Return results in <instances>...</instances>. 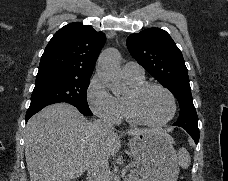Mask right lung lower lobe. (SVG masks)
I'll return each instance as SVG.
<instances>
[{"mask_svg": "<svg viewBox=\"0 0 228 181\" xmlns=\"http://www.w3.org/2000/svg\"><path fill=\"white\" fill-rule=\"evenodd\" d=\"M45 107V106H44ZM44 107H36V108H29L27 113H26V121L33 116L35 113H37L38 111H40L42 108Z\"/></svg>", "mask_w": 228, "mask_h": 181, "instance_id": "98d812e1", "label": "right lung lower lobe"}]
</instances>
